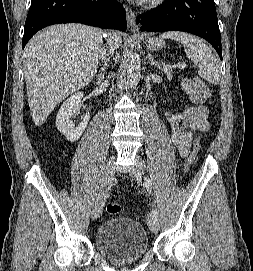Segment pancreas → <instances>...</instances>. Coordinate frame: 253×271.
I'll use <instances>...</instances> for the list:
<instances>
[{"instance_id":"pancreas-1","label":"pancreas","mask_w":253,"mask_h":271,"mask_svg":"<svg viewBox=\"0 0 253 271\" xmlns=\"http://www.w3.org/2000/svg\"><path fill=\"white\" fill-rule=\"evenodd\" d=\"M164 73L167 75V77H168L169 80L172 79V74H171L170 68L165 67L164 68Z\"/></svg>"}]
</instances>
